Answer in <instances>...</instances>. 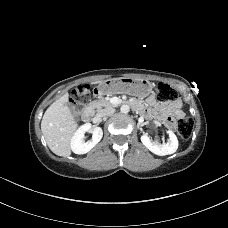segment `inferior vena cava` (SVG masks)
I'll use <instances>...</instances> for the list:
<instances>
[{
	"instance_id": "obj_1",
	"label": "inferior vena cava",
	"mask_w": 228,
	"mask_h": 228,
	"mask_svg": "<svg viewBox=\"0 0 228 228\" xmlns=\"http://www.w3.org/2000/svg\"><path fill=\"white\" fill-rule=\"evenodd\" d=\"M114 112H115L114 108H107V109L103 110L102 112H100L99 114H97V117L98 118H102V117H105V116H110Z\"/></svg>"
}]
</instances>
